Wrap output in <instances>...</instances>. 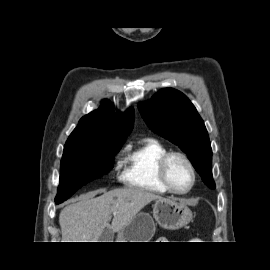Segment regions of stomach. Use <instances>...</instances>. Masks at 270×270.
I'll list each match as a JSON object with an SVG mask.
<instances>
[{"label": "stomach", "instance_id": "obj_1", "mask_svg": "<svg viewBox=\"0 0 270 270\" xmlns=\"http://www.w3.org/2000/svg\"><path fill=\"white\" fill-rule=\"evenodd\" d=\"M163 228L176 230L192 219L189 207L175 199L161 198L153 204V218L145 212L137 215L117 234V242H149L155 232L154 220Z\"/></svg>", "mask_w": 270, "mask_h": 270}]
</instances>
